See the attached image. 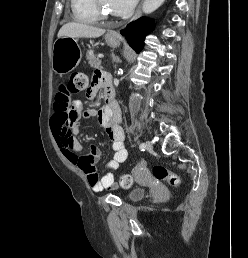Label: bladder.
Returning <instances> with one entry per match:
<instances>
[{"mask_svg":"<svg viewBox=\"0 0 248 258\" xmlns=\"http://www.w3.org/2000/svg\"><path fill=\"white\" fill-rule=\"evenodd\" d=\"M145 196H146V191L140 188L132 189L127 195L128 199L133 202L142 200L143 198H145Z\"/></svg>","mask_w":248,"mask_h":258,"instance_id":"31cf9c89","label":"bladder"}]
</instances>
